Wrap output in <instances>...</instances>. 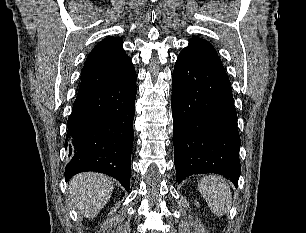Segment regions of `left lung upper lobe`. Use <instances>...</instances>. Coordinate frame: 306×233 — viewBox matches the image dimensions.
Returning <instances> with one entry per match:
<instances>
[{
	"mask_svg": "<svg viewBox=\"0 0 306 233\" xmlns=\"http://www.w3.org/2000/svg\"><path fill=\"white\" fill-rule=\"evenodd\" d=\"M181 52L192 53L196 56L213 59L221 63L215 48L206 40L200 38H191L188 47L184 48Z\"/></svg>",
	"mask_w": 306,
	"mask_h": 233,
	"instance_id": "left-lung-upper-lobe-1",
	"label": "left lung upper lobe"
}]
</instances>
